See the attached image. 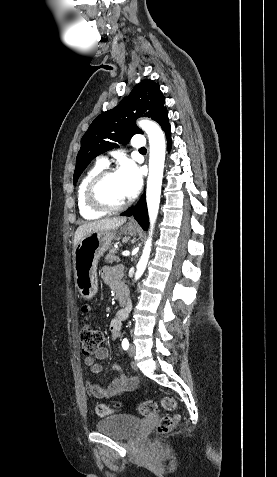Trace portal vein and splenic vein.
Listing matches in <instances>:
<instances>
[{"instance_id":"1","label":"portal vein and splenic vein","mask_w":277,"mask_h":477,"mask_svg":"<svg viewBox=\"0 0 277 477\" xmlns=\"http://www.w3.org/2000/svg\"><path fill=\"white\" fill-rule=\"evenodd\" d=\"M129 255H130V252L127 251V250H124V251L122 252V256H129Z\"/></svg>"}]
</instances>
